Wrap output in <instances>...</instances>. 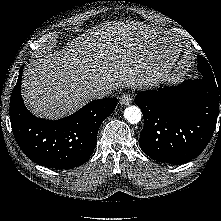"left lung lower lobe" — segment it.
Returning a JSON list of instances; mask_svg holds the SVG:
<instances>
[{
    "label": "left lung lower lobe",
    "mask_w": 221,
    "mask_h": 221,
    "mask_svg": "<svg viewBox=\"0 0 221 221\" xmlns=\"http://www.w3.org/2000/svg\"><path fill=\"white\" fill-rule=\"evenodd\" d=\"M217 84L204 77L137 94L135 103L145 121L139 139L143 152L169 164H183L201 154L218 125L221 85Z\"/></svg>",
    "instance_id": "0a47b994"
}]
</instances>
